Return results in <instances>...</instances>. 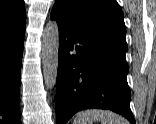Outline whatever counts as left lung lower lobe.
I'll list each match as a JSON object with an SVG mask.
<instances>
[{"label":"left lung lower lobe","mask_w":156,"mask_h":124,"mask_svg":"<svg viewBox=\"0 0 156 124\" xmlns=\"http://www.w3.org/2000/svg\"><path fill=\"white\" fill-rule=\"evenodd\" d=\"M59 64L56 84L57 124L76 112L98 108L122 114L135 124L127 84V48L102 35L77 28L56 11Z\"/></svg>","instance_id":"0a47b994"}]
</instances>
